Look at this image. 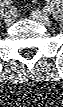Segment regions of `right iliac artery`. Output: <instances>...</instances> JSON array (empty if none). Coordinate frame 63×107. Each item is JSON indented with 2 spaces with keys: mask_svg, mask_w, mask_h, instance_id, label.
Segmentation results:
<instances>
[{
  "mask_svg": "<svg viewBox=\"0 0 63 107\" xmlns=\"http://www.w3.org/2000/svg\"><path fill=\"white\" fill-rule=\"evenodd\" d=\"M4 5L7 7V8H9V9H11V1L10 0H5L4 1Z\"/></svg>",
  "mask_w": 63,
  "mask_h": 107,
  "instance_id": "1",
  "label": "right iliac artery"
}]
</instances>
